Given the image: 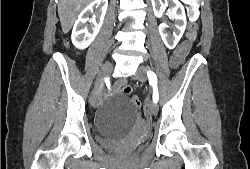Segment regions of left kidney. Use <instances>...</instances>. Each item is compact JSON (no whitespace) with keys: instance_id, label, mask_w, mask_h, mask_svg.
I'll return each mask as SVG.
<instances>
[{"instance_id":"1","label":"left kidney","mask_w":250,"mask_h":169,"mask_svg":"<svg viewBox=\"0 0 250 169\" xmlns=\"http://www.w3.org/2000/svg\"><path fill=\"white\" fill-rule=\"evenodd\" d=\"M168 4H170V14L175 20L176 32H174L172 36H169L166 32L168 26L166 22H161V24H159V32L167 48H174L186 28L187 20L184 6L179 0H165V2H163V0H152L154 14L157 18L163 16V12Z\"/></svg>"}]
</instances>
